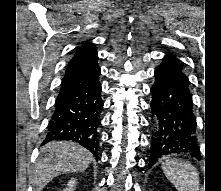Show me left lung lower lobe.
I'll use <instances>...</instances> for the list:
<instances>
[{
  "label": "left lung lower lobe",
  "mask_w": 221,
  "mask_h": 191,
  "mask_svg": "<svg viewBox=\"0 0 221 191\" xmlns=\"http://www.w3.org/2000/svg\"><path fill=\"white\" fill-rule=\"evenodd\" d=\"M154 76L151 109L157 116L159 129L152 141L149 167L163 156L173 153H184L199 159L192 95L182 65L176 57L167 54Z\"/></svg>",
  "instance_id": "obj_1"
}]
</instances>
